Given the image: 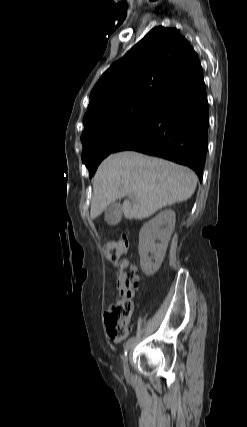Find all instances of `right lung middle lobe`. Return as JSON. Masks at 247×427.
<instances>
[{
  "instance_id": "right-lung-middle-lobe-1",
  "label": "right lung middle lobe",
  "mask_w": 247,
  "mask_h": 427,
  "mask_svg": "<svg viewBox=\"0 0 247 427\" xmlns=\"http://www.w3.org/2000/svg\"><path fill=\"white\" fill-rule=\"evenodd\" d=\"M157 106L139 105L114 113L84 128L82 162L92 177L99 163L135 135L152 118Z\"/></svg>"
}]
</instances>
